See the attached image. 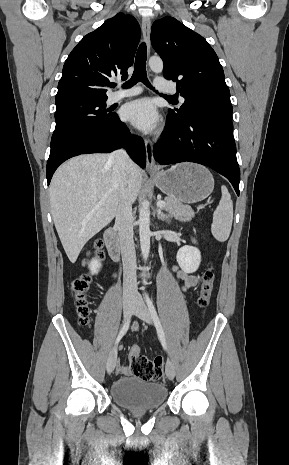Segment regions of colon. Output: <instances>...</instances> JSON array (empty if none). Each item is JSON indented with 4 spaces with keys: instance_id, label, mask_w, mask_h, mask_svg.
Returning a JSON list of instances; mask_svg holds the SVG:
<instances>
[{
    "instance_id": "obj_1",
    "label": "colon",
    "mask_w": 289,
    "mask_h": 465,
    "mask_svg": "<svg viewBox=\"0 0 289 465\" xmlns=\"http://www.w3.org/2000/svg\"><path fill=\"white\" fill-rule=\"evenodd\" d=\"M102 246L101 241L95 243V257H101L100 248ZM87 264V260L84 261ZM214 267L210 262L208 263L201 280L200 291L197 299L198 306L201 308L208 307L212 291L214 287ZM91 278L87 273L81 274L73 279L71 282V294L74 300L76 311L81 326H87L89 323V306L87 299V292L90 287ZM130 361L131 370L135 376L147 380L156 381L159 380L163 375V360L161 357L150 359L140 353L137 345L132 346L130 350Z\"/></svg>"
}]
</instances>
